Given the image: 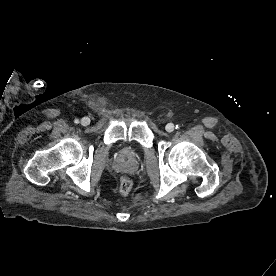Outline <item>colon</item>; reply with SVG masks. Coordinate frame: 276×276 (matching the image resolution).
Returning a JSON list of instances; mask_svg holds the SVG:
<instances>
[{
  "instance_id": "colon-1",
  "label": "colon",
  "mask_w": 276,
  "mask_h": 276,
  "mask_svg": "<svg viewBox=\"0 0 276 276\" xmlns=\"http://www.w3.org/2000/svg\"><path fill=\"white\" fill-rule=\"evenodd\" d=\"M133 187L132 181L127 177H122L118 183V190L122 195H128Z\"/></svg>"
}]
</instances>
